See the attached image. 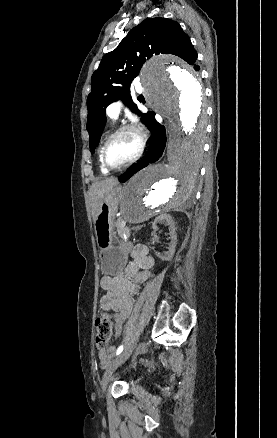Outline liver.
<instances>
[{
	"label": "liver",
	"instance_id": "obj_1",
	"mask_svg": "<svg viewBox=\"0 0 277 438\" xmlns=\"http://www.w3.org/2000/svg\"><path fill=\"white\" fill-rule=\"evenodd\" d=\"M115 186H117V180H110V178L109 180H104V182L92 184L91 196L94 222L100 212V204L101 202H103L104 194H107V192H111V190H113Z\"/></svg>",
	"mask_w": 277,
	"mask_h": 438
}]
</instances>
